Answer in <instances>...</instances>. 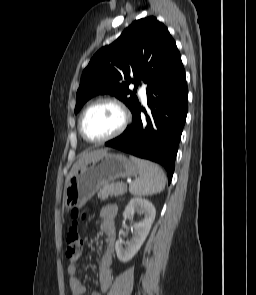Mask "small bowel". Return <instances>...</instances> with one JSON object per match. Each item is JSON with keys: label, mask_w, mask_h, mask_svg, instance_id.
Returning a JSON list of instances; mask_svg holds the SVG:
<instances>
[{"label": "small bowel", "mask_w": 256, "mask_h": 295, "mask_svg": "<svg viewBox=\"0 0 256 295\" xmlns=\"http://www.w3.org/2000/svg\"><path fill=\"white\" fill-rule=\"evenodd\" d=\"M117 214L115 206H105L100 211L101 224L100 228L106 235V250L99 266V288L93 295H102L106 293L114 278V269L111 265V257L114 253L116 232L114 220ZM79 255L73 257L68 265L67 272L69 275V287L72 295H84L86 293L85 286L76 277L77 273V261Z\"/></svg>", "instance_id": "c3829d8e"}]
</instances>
